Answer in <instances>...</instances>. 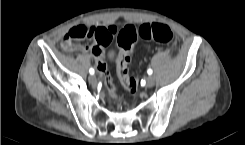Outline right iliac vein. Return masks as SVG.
Masks as SVG:
<instances>
[{
    "instance_id": "63e3f726",
    "label": "right iliac vein",
    "mask_w": 245,
    "mask_h": 145,
    "mask_svg": "<svg viewBox=\"0 0 245 145\" xmlns=\"http://www.w3.org/2000/svg\"><path fill=\"white\" fill-rule=\"evenodd\" d=\"M89 83H90L91 85H96V84H97V78H96L95 75L89 76Z\"/></svg>"
}]
</instances>
